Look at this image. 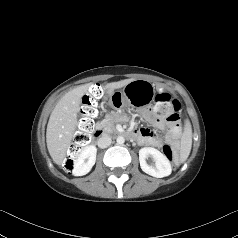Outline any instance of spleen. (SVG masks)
I'll use <instances>...</instances> for the list:
<instances>
[{
    "instance_id": "obj_1",
    "label": "spleen",
    "mask_w": 238,
    "mask_h": 238,
    "mask_svg": "<svg viewBox=\"0 0 238 238\" xmlns=\"http://www.w3.org/2000/svg\"><path fill=\"white\" fill-rule=\"evenodd\" d=\"M191 145H192V129H191L190 123L186 122L185 131L183 135V144H182V149L180 154L181 163L187 159L191 150Z\"/></svg>"
}]
</instances>
